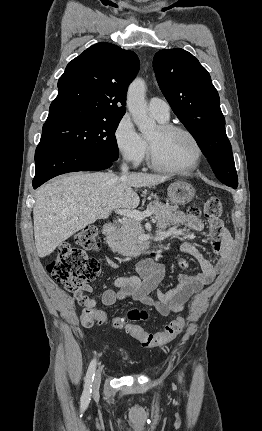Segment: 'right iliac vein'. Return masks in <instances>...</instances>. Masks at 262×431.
<instances>
[{"mask_svg":"<svg viewBox=\"0 0 262 431\" xmlns=\"http://www.w3.org/2000/svg\"><path fill=\"white\" fill-rule=\"evenodd\" d=\"M100 382H101V373L99 370H97L95 373L93 388L97 389L100 385Z\"/></svg>","mask_w":262,"mask_h":431,"instance_id":"63e3f726","label":"right iliac vein"}]
</instances>
